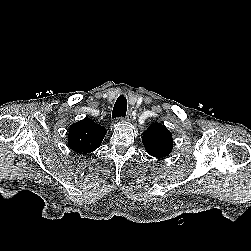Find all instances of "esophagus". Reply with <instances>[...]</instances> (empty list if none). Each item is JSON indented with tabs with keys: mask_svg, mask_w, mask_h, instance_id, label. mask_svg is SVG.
I'll return each instance as SVG.
<instances>
[{
	"mask_svg": "<svg viewBox=\"0 0 251 251\" xmlns=\"http://www.w3.org/2000/svg\"><path fill=\"white\" fill-rule=\"evenodd\" d=\"M125 119L129 122H131L133 119H132V114H131V111L127 112L126 116H125Z\"/></svg>",
	"mask_w": 251,
	"mask_h": 251,
	"instance_id": "obj_1",
	"label": "esophagus"
}]
</instances>
